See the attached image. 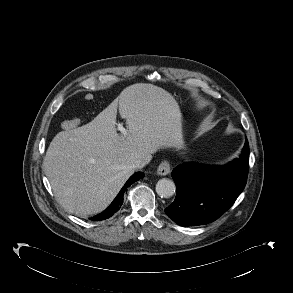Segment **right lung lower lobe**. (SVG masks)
Masks as SVG:
<instances>
[{"mask_svg": "<svg viewBox=\"0 0 293 293\" xmlns=\"http://www.w3.org/2000/svg\"><path fill=\"white\" fill-rule=\"evenodd\" d=\"M143 177V173L142 172H137L134 175H132L130 177V179L126 182V184L124 185V187L121 189V191L119 192V194L117 195V197L113 200V202L111 203V205L102 213L90 218V220L93 221H100V220H104L107 219L109 217H111L115 212H117L120 207L123 204V194L126 190V188L134 183L135 181L139 180L140 178Z\"/></svg>", "mask_w": 293, "mask_h": 293, "instance_id": "obj_1", "label": "right lung lower lobe"}]
</instances>
